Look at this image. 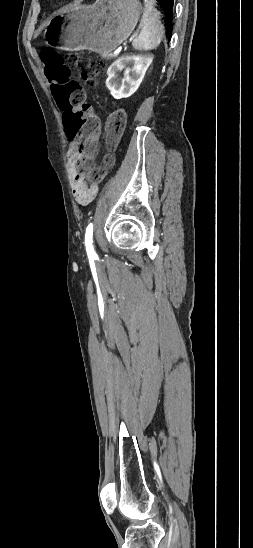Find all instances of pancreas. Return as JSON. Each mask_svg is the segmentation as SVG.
I'll return each mask as SVG.
<instances>
[{"label":"pancreas","mask_w":253,"mask_h":548,"mask_svg":"<svg viewBox=\"0 0 253 548\" xmlns=\"http://www.w3.org/2000/svg\"><path fill=\"white\" fill-rule=\"evenodd\" d=\"M102 57L106 58V59H112L115 57L114 54L112 53H106V54H103Z\"/></svg>","instance_id":"cf45deb5"}]
</instances>
